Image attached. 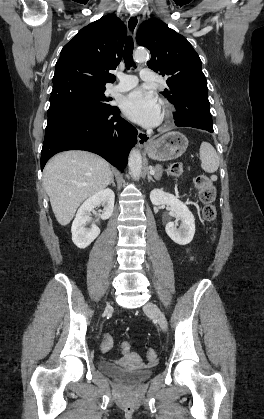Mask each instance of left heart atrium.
<instances>
[{"label":"left heart atrium","mask_w":264,"mask_h":419,"mask_svg":"<svg viewBox=\"0 0 264 419\" xmlns=\"http://www.w3.org/2000/svg\"><path fill=\"white\" fill-rule=\"evenodd\" d=\"M124 114L135 122L152 127L161 119V107L156 96L143 88H136L122 102Z\"/></svg>","instance_id":"39dd6f15"}]
</instances>
